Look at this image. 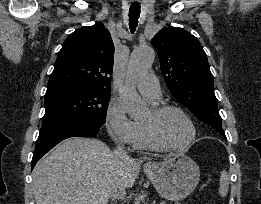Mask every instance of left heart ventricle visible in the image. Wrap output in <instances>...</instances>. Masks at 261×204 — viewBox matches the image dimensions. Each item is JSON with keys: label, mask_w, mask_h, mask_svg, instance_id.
I'll return each mask as SVG.
<instances>
[{"label": "left heart ventricle", "mask_w": 261, "mask_h": 204, "mask_svg": "<svg viewBox=\"0 0 261 204\" xmlns=\"http://www.w3.org/2000/svg\"><path fill=\"white\" fill-rule=\"evenodd\" d=\"M149 117V113L144 120ZM159 131L171 145H183L191 136V128L186 119L176 111L167 112L159 122Z\"/></svg>", "instance_id": "obj_1"}]
</instances>
